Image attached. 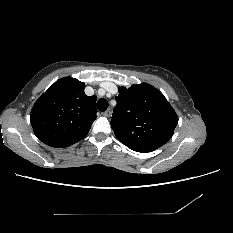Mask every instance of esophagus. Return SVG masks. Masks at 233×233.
<instances>
[{"instance_id": "obj_1", "label": "esophagus", "mask_w": 233, "mask_h": 233, "mask_svg": "<svg viewBox=\"0 0 233 233\" xmlns=\"http://www.w3.org/2000/svg\"><path fill=\"white\" fill-rule=\"evenodd\" d=\"M111 114H112V112H111L110 109H108V110H106L105 112L102 113V115L105 116V117H110Z\"/></svg>"}]
</instances>
